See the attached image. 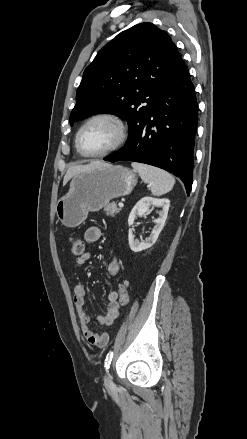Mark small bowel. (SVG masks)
Segmentation results:
<instances>
[{
  "label": "small bowel",
  "instance_id": "c3829d8e",
  "mask_svg": "<svg viewBox=\"0 0 247 439\" xmlns=\"http://www.w3.org/2000/svg\"><path fill=\"white\" fill-rule=\"evenodd\" d=\"M102 236V231L98 226H90L84 233V240L87 243H94L98 241ZM91 252L85 251L76 260V266H81L85 264L91 258ZM107 272L109 277L116 278L120 273V265L116 258H113L108 266ZM85 297V287L83 284H78L74 288L73 302L77 312V316L80 323V328L82 334L86 341L97 347H105L109 342V336L107 333L102 332L100 334L95 333L90 328V317L85 311L84 300ZM119 294L116 291H110L108 293V307L107 313L105 315H100L96 317V321L102 326H110L119 316Z\"/></svg>",
  "mask_w": 247,
  "mask_h": 439
}]
</instances>
